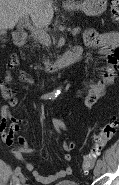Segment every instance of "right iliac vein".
<instances>
[{
  "mask_svg": "<svg viewBox=\"0 0 119 185\" xmlns=\"http://www.w3.org/2000/svg\"><path fill=\"white\" fill-rule=\"evenodd\" d=\"M19 180L21 183L25 182V176L22 173L19 174Z\"/></svg>",
  "mask_w": 119,
  "mask_h": 185,
  "instance_id": "right-iliac-vein-1",
  "label": "right iliac vein"
}]
</instances>
